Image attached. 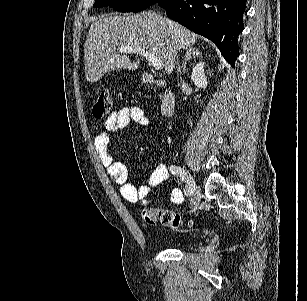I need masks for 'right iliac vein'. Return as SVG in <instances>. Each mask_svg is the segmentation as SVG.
Returning a JSON list of instances; mask_svg holds the SVG:
<instances>
[{
  "mask_svg": "<svg viewBox=\"0 0 307 301\" xmlns=\"http://www.w3.org/2000/svg\"><path fill=\"white\" fill-rule=\"evenodd\" d=\"M187 185L190 188L191 191V200H192V206L196 207L199 205V201L201 198V191L197 187L195 180L191 175L187 176Z\"/></svg>",
  "mask_w": 307,
  "mask_h": 301,
  "instance_id": "63e3f726",
  "label": "right iliac vein"
}]
</instances>
